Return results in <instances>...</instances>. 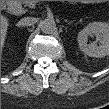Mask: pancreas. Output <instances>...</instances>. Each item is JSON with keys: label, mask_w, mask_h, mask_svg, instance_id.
I'll return each instance as SVG.
<instances>
[{"label": "pancreas", "mask_w": 109, "mask_h": 109, "mask_svg": "<svg viewBox=\"0 0 109 109\" xmlns=\"http://www.w3.org/2000/svg\"><path fill=\"white\" fill-rule=\"evenodd\" d=\"M32 3V2H31ZM30 3V1H23L22 4L25 6V7H31L32 4Z\"/></svg>", "instance_id": "obj_1"}]
</instances>
